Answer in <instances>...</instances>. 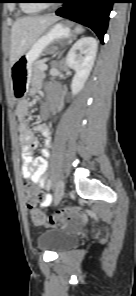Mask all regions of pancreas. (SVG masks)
I'll use <instances>...</instances> for the list:
<instances>
[{
  "mask_svg": "<svg viewBox=\"0 0 136 296\" xmlns=\"http://www.w3.org/2000/svg\"><path fill=\"white\" fill-rule=\"evenodd\" d=\"M42 65L43 64L41 62H38L35 64V66H34V77L35 78H41L44 76V72L40 69Z\"/></svg>",
  "mask_w": 136,
  "mask_h": 296,
  "instance_id": "obj_1",
  "label": "pancreas"
}]
</instances>
